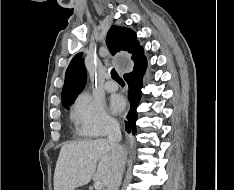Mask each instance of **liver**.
<instances>
[{"instance_id":"6515ba94","label":"liver","mask_w":234,"mask_h":190,"mask_svg":"<svg viewBox=\"0 0 234 190\" xmlns=\"http://www.w3.org/2000/svg\"><path fill=\"white\" fill-rule=\"evenodd\" d=\"M112 167V152L106 139L66 143L57 159L54 190H75L88 184L92 178L101 180L107 186Z\"/></svg>"}]
</instances>
